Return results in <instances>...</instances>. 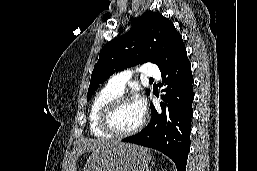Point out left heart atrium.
<instances>
[{"label":"left heart atrium","mask_w":257,"mask_h":171,"mask_svg":"<svg viewBox=\"0 0 257 171\" xmlns=\"http://www.w3.org/2000/svg\"><path fill=\"white\" fill-rule=\"evenodd\" d=\"M133 104L138 112L143 116L146 110V102L144 97L141 95H137L133 100Z\"/></svg>","instance_id":"left-heart-atrium-1"}]
</instances>
